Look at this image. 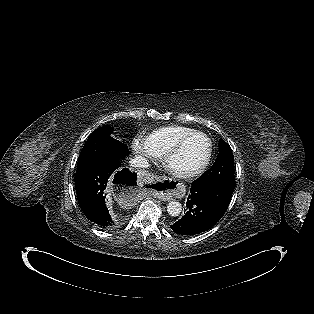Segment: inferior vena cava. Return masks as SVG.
<instances>
[{
    "mask_svg": "<svg viewBox=\"0 0 314 314\" xmlns=\"http://www.w3.org/2000/svg\"><path fill=\"white\" fill-rule=\"evenodd\" d=\"M130 165L138 168H147L149 167V163L146 158L138 155L130 160Z\"/></svg>",
    "mask_w": 314,
    "mask_h": 314,
    "instance_id": "obj_1",
    "label": "inferior vena cava"
}]
</instances>
